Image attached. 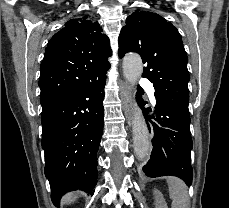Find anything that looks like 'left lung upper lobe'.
I'll return each mask as SVG.
<instances>
[{"label":"left lung upper lobe","mask_w":229,"mask_h":208,"mask_svg":"<svg viewBox=\"0 0 229 208\" xmlns=\"http://www.w3.org/2000/svg\"><path fill=\"white\" fill-rule=\"evenodd\" d=\"M176 27L153 12L136 11L119 36V56L138 53L146 64L143 77L153 83L155 96L171 108L189 114L188 57Z\"/></svg>","instance_id":"left-lung-upper-lobe-1"}]
</instances>
